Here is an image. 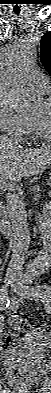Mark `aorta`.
Segmentation results:
<instances>
[{"label":"aorta","instance_id":"1","mask_svg":"<svg viewBox=\"0 0 51 393\" xmlns=\"http://www.w3.org/2000/svg\"><path fill=\"white\" fill-rule=\"evenodd\" d=\"M35 59V48L27 42L18 41L12 45L1 65L2 95L19 113H32L41 107V99L28 77ZM35 220L44 246L29 268L33 275L48 271L51 262L50 222L41 214Z\"/></svg>","mask_w":51,"mask_h":393}]
</instances>
